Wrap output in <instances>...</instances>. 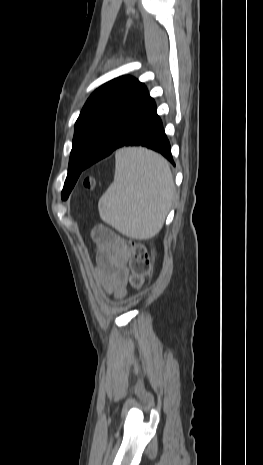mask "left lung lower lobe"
<instances>
[{"label": "left lung lower lobe", "instance_id": "obj_1", "mask_svg": "<svg viewBox=\"0 0 263 465\" xmlns=\"http://www.w3.org/2000/svg\"><path fill=\"white\" fill-rule=\"evenodd\" d=\"M123 146L150 148L161 153L175 165L162 121L156 113V104L145 86L102 133L84 169Z\"/></svg>", "mask_w": 263, "mask_h": 465}]
</instances>
